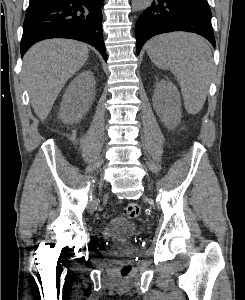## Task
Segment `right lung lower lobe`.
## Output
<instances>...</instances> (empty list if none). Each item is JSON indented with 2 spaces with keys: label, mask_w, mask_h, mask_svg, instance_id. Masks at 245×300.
Returning <instances> with one entry per match:
<instances>
[{
  "label": "right lung lower lobe",
  "mask_w": 245,
  "mask_h": 300,
  "mask_svg": "<svg viewBox=\"0 0 245 300\" xmlns=\"http://www.w3.org/2000/svg\"><path fill=\"white\" fill-rule=\"evenodd\" d=\"M102 0H38L27 8L21 39L23 55L34 43L70 38L94 46L107 60L102 32Z\"/></svg>",
  "instance_id": "98d812e1"
}]
</instances>
